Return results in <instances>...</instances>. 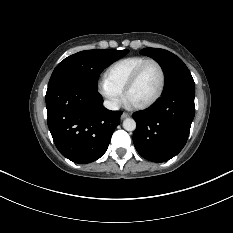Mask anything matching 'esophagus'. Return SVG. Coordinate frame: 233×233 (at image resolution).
<instances>
[{
  "label": "esophagus",
  "mask_w": 233,
  "mask_h": 233,
  "mask_svg": "<svg viewBox=\"0 0 233 233\" xmlns=\"http://www.w3.org/2000/svg\"><path fill=\"white\" fill-rule=\"evenodd\" d=\"M127 117H129V114L128 113H122V115H121V120H123V119H125V118H127Z\"/></svg>",
  "instance_id": "esophagus-1"
}]
</instances>
